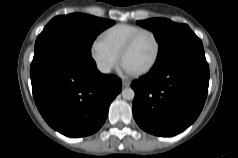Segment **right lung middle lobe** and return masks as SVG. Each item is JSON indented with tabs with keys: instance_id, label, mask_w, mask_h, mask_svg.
Returning a JSON list of instances; mask_svg holds the SVG:
<instances>
[{
	"instance_id": "dd1d6c3e",
	"label": "right lung middle lobe",
	"mask_w": 238,
	"mask_h": 158,
	"mask_svg": "<svg viewBox=\"0 0 238 158\" xmlns=\"http://www.w3.org/2000/svg\"><path fill=\"white\" fill-rule=\"evenodd\" d=\"M113 20L74 13L53 18L37 37L34 50L50 42L60 43L91 57V46L99 33L112 26Z\"/></svg>"
}]
</instances>
